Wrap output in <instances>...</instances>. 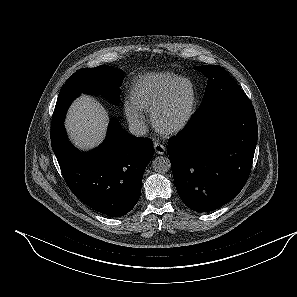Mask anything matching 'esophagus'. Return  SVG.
<instances>
[{
    "label": "esophagus",
    "mask_w": 297,
    "mask_h": 297,
    "mask_svg": "<svg viewBox=\"0 0 297 297\" xmlns=\"http://www.w3.org/2000/svg\"><path fill=\"white\" fill-rule=\"evenodd\" d=\"M154 150L157 154L159 155H163L166 151V148L164 145H162L161 143L159 142H155L154 143Z\"/></svg>",
    "instance_id": "obj_1"
}]
</instances>
